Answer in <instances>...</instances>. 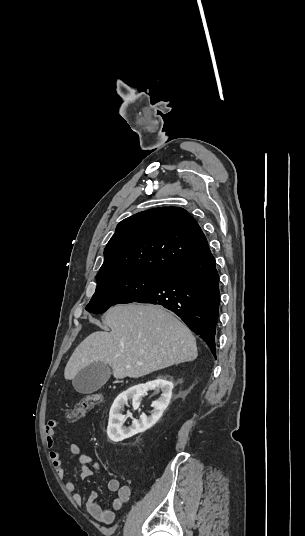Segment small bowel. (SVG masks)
<instances>
[{"label": "small bowel", "instance_id": "c3829d8e", "mask_svg": "<svg viewBox=\"0 0 305 536\" xmlns=\"http://www.w3.org/2000/svg\"><path fill=\"white\" fill-rule=\"evenodd\" d=\"M56 421L49 419L47 424L44 425L43 430L45 434V442L49 449V457L55 468L56 475L59 479L65 478V470L63 468L62 459L60 453L55 449V430ZM69 451L72 455L78 456V463L81 466L80 478L82 480L90 477L94 471L99 470V465L89 455L82 453V448L79 444L73 443L70 445ZM107 489L110 493H114L115 497L111 501L109 506H102L98 503L97 491H92L86 502V509L88 513L97 521L104 524H111L115 520V512L120 511L125 504H127L131 497V489L128 485H121L118 479L112 478L107 482ZM65 490L67 493L72 494L75 503L80 504L82 502V495L76 493V484L73 481H67L65 483Z\"/></svg>", "mask_w": 305, "mask_h": 536}]
</instances>
